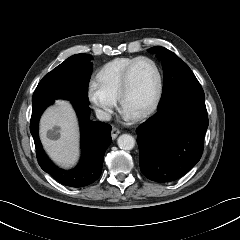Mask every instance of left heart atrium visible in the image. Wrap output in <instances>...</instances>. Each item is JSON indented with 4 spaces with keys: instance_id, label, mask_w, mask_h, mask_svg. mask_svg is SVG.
<instances>
[{
    "instance_id": "39dd6f15",
    "label": "left heart atrium",
    "mask_w": 240,
    "mask_h": 240,
    "mask_svg": "<svg viewBox=\"0 0 240 240\" xmlns=\"http://www.w3.org/2000/svg\"><path fill=\"white\" fill-rule=\"evenodd\" d=\"M126 117H130V116L126 114Z\"/></svg>"
}]
</instances>
